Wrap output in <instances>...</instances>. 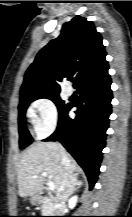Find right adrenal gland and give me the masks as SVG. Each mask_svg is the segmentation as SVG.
<instances>
[{"label":"right adrenal gland","instance_id":"1","mask_svg":"<svg viewBox=\"0 0 132 217\" xmlns=\"http://www.w3.org/2000/svg\"><path fill=\"white\" fill-rule=\"evenodd\" d=\"M83 185V182L78 180V174L75 175L73 186H72V192H75L78 188H80Z\"/></svg>","mask_w":132,"mask_h":217}]
</instances>
